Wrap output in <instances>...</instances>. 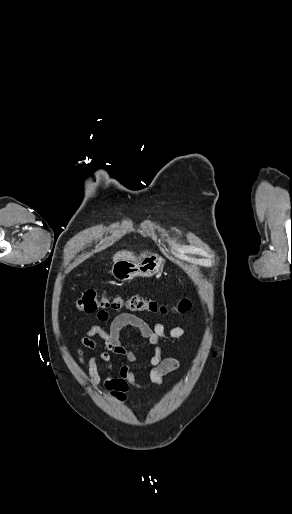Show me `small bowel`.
Here are the masks:
<instances>
[{"mask_svg":"<svg viewBox=\"0 0 292 514\" xmlns=\"http://www.w3.org/2000/svg\"><path fill=\"white\" fill-rule=\"evenodd\" d=\"M96 319L102 323L110 321L109 329L100 325L90 327L80 339L77 347L80 363L86 367L92 386L102 385L113 397L122 400L130 388L146 390L153 385H161L168 374L180 368L181 363L178 359L161 356V341L183 338L187 334L185 328L180 326L167 328L160 321L151 325L131 313L118 314L111 320L110 314L106 310H98ZM126 327L138 329L142 337L153 347L154 354L148 360L150 368L148 380L145 382L139 381L135 372L127 364L120 366L118 377H101L99 363L103 362L105 368L111 370L113 367L111 353L124 356L129 362L139 360V357L121 341V332ZM95 338H100L101 342ZM85 349L96 350L98 353L85 361L83 358Z\"/></svg>","mask_w":292,"mask_h":514,"instance_id":"1","label":"small bowel"}]
</instances>
